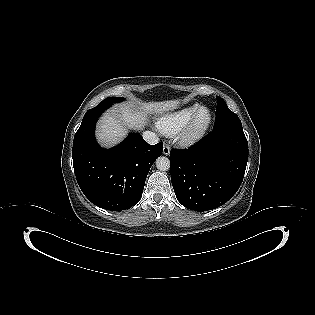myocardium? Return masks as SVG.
Masks as SVG:
<instances>
[{"label": "myocardium", "instance_id": "obj_1", "mask_svg": "<svg viewBox=\"0 0 315 315\" xmlns=\"http://www.w3.org/2000/svg\"><path fill=\"white\" fill-rule=\"evenodd\" d=\"M207 113L206 121L199 125L198 119L201 113ZM212 112L206 106H200L192 115L188 123L179 132L178 142L184 147H189L199 142L209 130L212 123Z\"/></svg>", "mask_w": 315, "mask_h": 315}]
</instances>
